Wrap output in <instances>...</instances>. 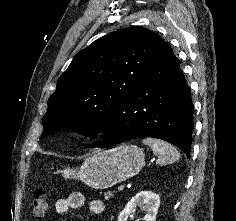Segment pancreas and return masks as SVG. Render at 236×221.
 <instances>
[{
  "label": "pancreas",
  "mask_w": 236,
  "mask_h": 221,
  "mask_svg": "<svg viewBox=\"0 0 236 221\" xmlns=\"http://www.w3.org/2000/svg\"><path fill=\"white\" fill-rule=\"evenodd\" d=\"M104 196H105V199H106V200H109V198H111V197L113 196V194H112L111 191H108V192H106V193L104 194Z\"/></svg>",
  "instance_id": "pancreas-1"
}]
</instances>
